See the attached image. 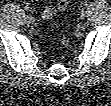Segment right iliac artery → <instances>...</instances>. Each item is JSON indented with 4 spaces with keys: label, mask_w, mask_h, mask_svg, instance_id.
Instances as JSON below:
<instances>
[{
    "label": "right iliac artery",
    "mask_w": 111,
    "mask_h": 106,
    "mask_svg": "<svg viewBox=\"0 0 111 106\" xmlns=\"http://www.w3.org/2000/svg\"><path fill=\"white\" fill-rule=\"evenodd\" d=\"M29 17H31V16H30V13H29L28 10H27V12H26V14H25V19H27V18H29Z\"/></svg>",
    "instance_id": "82829eb1"
}]
</instances>
